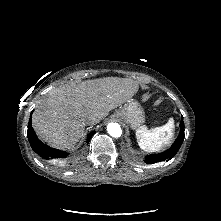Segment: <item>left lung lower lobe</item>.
I'll return each mask as SVG.
<instances>
[{
  "label": "left lung lower lobe",
  "instance_id": "obj_1",
  "mask_svg": "<svg viewBox=\"0 0 221 221\" xmlns=\"http://www.w3.org/2000/svg\"><path fill=\"white\" fill-rule=\"evenodd\" d=\"M183 140H184V122H181L179 136L177 137L173 145L163 153L146 156L144 162L147 164H153L165 160L169 161L176 155L179 148L181 147Z\"/></svg>",
  "mask_w": 221,
  "mask_h": 221
}]
</instances>
